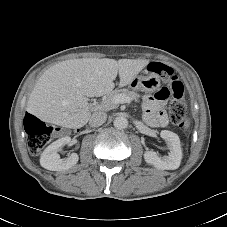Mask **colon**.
<instances>
[{
	"label": "colon",
	"instance_id": "obj_1",
	"mask_svg": "<svg viewBox=\"0 0 227 227\" xmlns=\"http://www.w3.org/2000/svg\"><path fill=\"white\" fill-rule=\"evenodd\" d=\"M148 68L150 72L159 74L171 91L173 96V100L169 105L171 121L181 129L187 130L188 119L186 105L183 101V84L174 75L173 69L163 63L153 62ZM24 129L27 133V145L31 154H37L43 149L49 143L54 133V127L47 125L31 114H27L24 118Z\"/></svg>",
	"mask_w": 227,
	"mask_h": 227
}]
</instances>
